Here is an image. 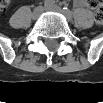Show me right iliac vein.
<instances>
[{
	"label": "right iliac vein",
	"instance_id": "right-iliac-vein-1",
	"mask_svg": "<svg viewBox=\"0 0 103 103\" xmlns=\"http://www.w3.org/2000/svg\"><path fill=\"white\" fill-rule=\"evenodd\" d=\"M44 11V7L43 6H38L34 9L33 13H32V18L33 19H37L42 12Z\"/></svg>",
	"mask_w": 103,
	"mask_h": 103
}]
</instances>
